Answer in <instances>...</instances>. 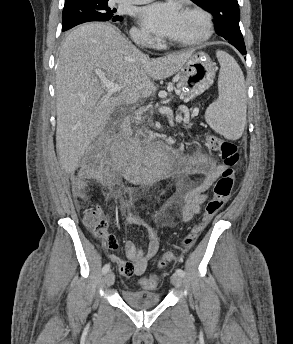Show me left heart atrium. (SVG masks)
<instances>
[{"label": "left heart atrium", "mask_w": 293, "mask_h": 344, "mask_svg": "<svg viewBox=\"0 0 293 344\" xmlns=\"http://www.w3.org/2000/svg\"><path fill=\"white\" fill-rule=\"evenodd\" d=\"M181 11L172 2H158L138 11V20L144 29L164 38L171 37L177 30Z\"/></svg>", "instance_id": "39dd6f15"}]
</instances>
